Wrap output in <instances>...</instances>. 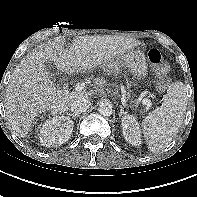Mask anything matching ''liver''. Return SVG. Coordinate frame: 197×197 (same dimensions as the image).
Wrapping results in <instances>:
<instances>
[{
    "label": "liver",
    "mask_w": 197,
    "mask_h": 197,
    "mask_svg": "<svg viewBox=\"0 0 197 197\" xmlns=\"http://www.w3.org/2000/svg\"><path fill=\"white\" fill-rule=\"evenodd\" d=\"M140 44L139 40L129 37L97 35L79 36L67 49L60 37L40 45L18 64L6 88L4 105L12 130L24 138L38 114L49 110L52 115H61L76 96L91 97L93 94L85 90L57 89L45 70V63L54 62L58 70L67 74L87 73Z\"/></svg>",
    "instance_id": "1"
}]
</instances>
